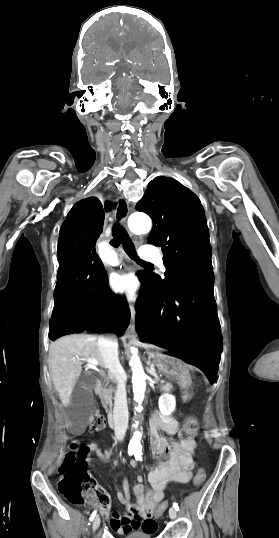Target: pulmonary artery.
Masks as SVG:
<instances>
[{
  "label": "pulmonary artery",
  "mask_w": 279,
  "mask_h": 538,
  "mask_svg": "<svg viewBox=\"0 0 279 538\" xmlns=\"http://www.w3.org/2000/svg\"><path fill=\"white\" fill-rule=\"evenodd\" d=\"M121 261V254L120 253H113L107 257L104 258V264L106 266H113L117 265Z\"/></svg>",
  "instance_id": "obj_1"
}]
</instances>
